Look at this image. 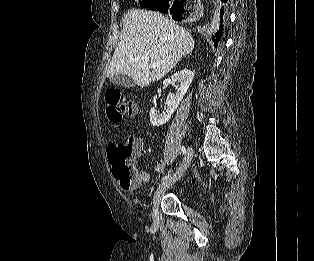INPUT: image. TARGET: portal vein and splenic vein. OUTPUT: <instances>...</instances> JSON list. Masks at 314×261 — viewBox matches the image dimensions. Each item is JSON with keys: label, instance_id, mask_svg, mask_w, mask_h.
<instances>
[{"label": "portal vein and splenic vein", "instance_id": "obj_1", "mask_svg": "<svg viewBox=\"0 0 314 261\" xmlns=\"http://www.w3.org/2000/svg\"><path fill=\"white\" fill-rule=\"evenodd\" d=\"M141 60H142L144 63H148V61H149V59H148L147 57H142ZM151 66H152V68H156V67H158V64L155 63V62H153Z\"/></svg>", "mask_w": 314, "mask_h": 261}]
</instances>
